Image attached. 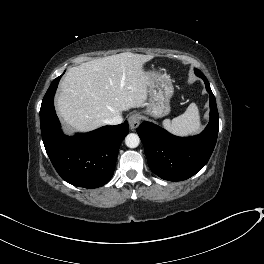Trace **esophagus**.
I'll list each match as a JSON object with an SVG mask.
<instances>
[{"label": "esophagus", "mask_w": 264, "mask_h": 264, "mask_svg": "<svg viewBox=\"0 0 264 264\" xmlns=\"http://www.w3.org/2000/svg\"><path fill=\"white\" fill-rule=\"evenodd\" d=\"M128 123L131 129H136L140 124V116L137 113L131 114Z\"/></svg>", "instance_id": "1"}]
</instances>
